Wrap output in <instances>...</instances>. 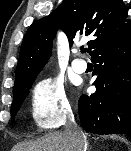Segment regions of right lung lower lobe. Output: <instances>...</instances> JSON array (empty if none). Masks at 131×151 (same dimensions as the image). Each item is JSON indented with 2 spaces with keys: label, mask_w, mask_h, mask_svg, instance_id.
<instances>
[{
  "label": "right lung lower lobe",
  "mask_w": 131,
  "mask_h": 151,
  "mask_svg": "<svg viewBox=\"0 0 131 151\" xmlns=\"http://www.w3.org/2000/svg\"><path fill=\"white\" fill-rule=\"evenodd\" d=\"M96 92L78 102L81 123L95 134H126L131 138V31L103 44L91 54Z\"/></svg>",
  "instance_id": "1"
}]
</instances>
